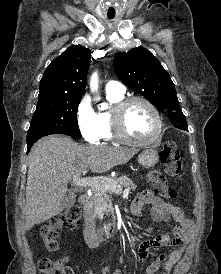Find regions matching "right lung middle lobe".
I'll return each instance as SVG.
<instances>
[{"label":"right lung middle lobe","instance_id":"dd1d6c3e","mask_svg":"<svg viewBox=\"0 0 221 274\" xmlns=\"http://www.w3.org/2000/svg\"><path fill=\"white\" fill-rule=\"evenodd\" d=\"M81 97L38 99L27 143L51 134H65L80 138L77 110Z\"/></svg>","mask_w":221,"mask_h":274}]
</instances>
